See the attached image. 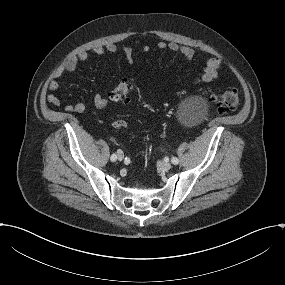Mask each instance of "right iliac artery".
<instances>
[{"mask_svg": "<svg viewBox=\"0 0 285 285\" xmlns=\"http://www.w3.org/2000/svg\"><path fill=\"white\" fill-rule=\"evenodd\" d=\"M110 159H111V161H116V159H117V156H116V154H112L111 155V157H110Z\"/></svg>", "mask_w": 285, "mask_h": 285, "instance_id": "1", "label": "right iliac artery"}]
</instances>
